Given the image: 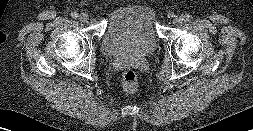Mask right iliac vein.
<instances>
[{
  "label": "right iliac vein",
  "instance_id": "right-iliac-vein-1",
  "mask_svg": "<svg viewBox=\"0 0 253 131\" xmlns=\"http://www.w3.org/2000/svg\"><path fill=\"white\" fill-rule=\"evenodd\" d=\"M79 19H80L82 22H85V23L89 22V16H88V14H86V13H81V14L79 15Z\"/></svg>",
  "mask_w": 253,
  "mask_h": 131
}]
</instances>
